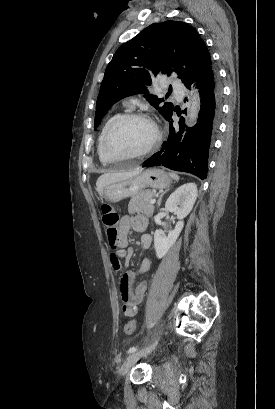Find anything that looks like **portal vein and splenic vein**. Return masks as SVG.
<instances>
[{
  "instance_id": "portal-vein-and-splenic-vein-1",
  "label": "portal vein and splenic vein",
  "mask_w": 275,
  "mask_h": 409,
  "mask_svg": "<svg viewBox=\"0 0 275 409\" xmlns=\"http://www.w3.org/2000/svg\"><path fill=\"white\" fill-rule=\"evenodd\" d=\"M151 202H155V198H152Z\"/></svg>"
}]
</instances>
